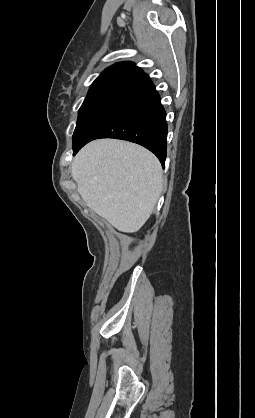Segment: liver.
I'll use <instances>...</instances> for the list:
<instances>
[{
  "instance_id": "obj_1",
  "label": "liver",
  "mask_w": 255,
  "mask_h": 418,
  "mask_svg": "<svg viewBox=\"0 0 255 418\" xmlns=\"http://www.w3.org/2000/svg\"><path fill=\"white\" fill-rule=\"evenodd\" d=\"M71 174L86 205L121 232H137L162 191L159 160L134 143L100 139L83 147Z\"/></svg>"
}]
</instances>
